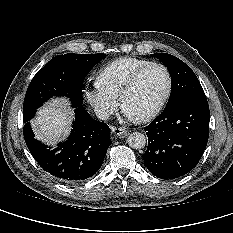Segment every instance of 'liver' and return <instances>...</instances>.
Listing matches in <instances>:
<instances>
[{
    "label": "liver",
    "mask_w": 233,
    "mask_h": 233,
    "mask_svg": "<svg viewBox=\"0 0 233 233\" xmlns=\"http://www.w3.org/2000/svg\"><path fill=\"white\" fill-rule=\"evenodd\" d=\"M72 111L66 108L61 100H54L39 110L38 116L32 120L36 138L55 144L70 129Z\"/></svg>",
    "instance_id": "6515ba94"
}]
</instances>
